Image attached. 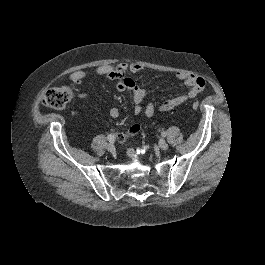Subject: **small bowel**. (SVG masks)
<instances>
[{
    "instance_id": "c3829d8e",
    "label": "small bowel",
    "mask_w": 265,
    "mask_h": 265,
    "mask_svg": "<svg viewBox=\"0 0 265 265\" xmlns=\"http://www.w3.org/2000/svg\"><path fill=\"white\" fill-rule=\"evenodd\" d=\"M143 70V67L137 63L127 64L118 63L116 65H102L95 68L93 71L78 70L69 75V80L74 84H81L82 81L91 73L107 77L112 80H116V88L119 91H131L133 93V110L135 114L143 113L146 117H152L156 111H170L174 108L182 105L189 99L197 97L205 86L203 78L188 72H178L176 77L182 81V83L189 87V90L181 95L164 100L159 105L153 102L143 105V101L146 97V92L139 87L133 79L126 76L128 72L138 73ZM119 110L116 107L109 109V115L112 118L119 117ZM140 130V125L135 124L127 131L117 134L119 141H125L129 137L135 135Z\"/></svg>"
}]
</instances>
